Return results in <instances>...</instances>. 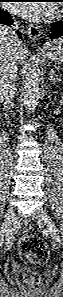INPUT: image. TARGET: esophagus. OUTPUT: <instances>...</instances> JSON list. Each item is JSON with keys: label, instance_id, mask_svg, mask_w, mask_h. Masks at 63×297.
Wrapping results in <instances>:
<instances>
[{"label": "esophagus", "instance_id": "esophagus-1", "mask_svg": "<svg viewBox=\"0 0 63 297\" xmlns=\"http://www.w3.org/2000/svg\"><path fill=\"white\" fill-rule=\"evenodd\" d=\"M40 30L37 26L29 24L27 27V35L29 39L33 42L37 41L40 37Z\"/></svg>", "mask_w": 63, "mask_h": 297}]
</instances>
